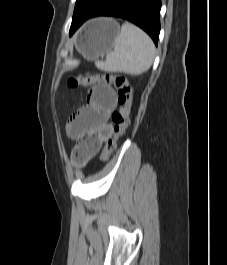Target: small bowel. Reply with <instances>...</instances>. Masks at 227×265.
I'll use <instances>...</instances> for the list:
<instances>
[{
	"label": "small bowel",
	"instance_id": "obj_1",
	"mask_svg": "<svg viewBox=\"0 0 227 265\" xmlns=\"http://www.w3.org/2000/svg\"><path fill=\"white\" fill-rule=\"evenodd\" d=\"M115 106L114 91L104 84L95 85L88 92L87 104L70 116L67 134L78 141L76 148L86 160L96 154L102 143L111 136L109 117Z\"/></svg>",
	"mask_w": 227,
	"mask_h": 265
}]
</instances>
